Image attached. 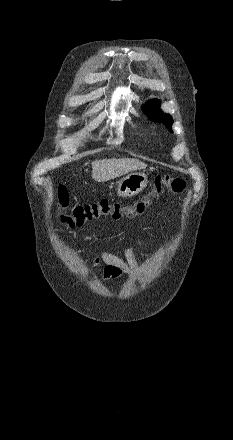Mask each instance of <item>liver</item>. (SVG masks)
Listing matches in <instances>:
<instances>
[{
    "label": "liver",
    "mask_w": 233,
    "mask_h": 440,
    "mask_svg": "<svg viewBox=\"0 0 233 440\" xmlns=\"http://www.w3.org/2000/svg\"><path fill=\"white\" fill-rule=\"evenodd\" d=\"M147 164L138 159L113 158L92 162V178L97 182H105L126 173L145 169Z\"/></svg>",
    "instance_id": "1"
}]
</instances>
